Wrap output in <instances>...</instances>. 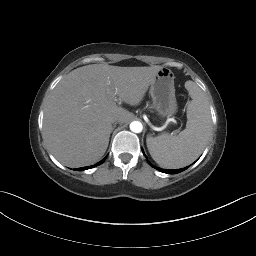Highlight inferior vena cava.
<instances>
[{
    "mask_svg": "<svg viewBox=\"0 0 256 256\" xmlns=\"http://www.w3.org/2000/svg\"><path fill=\"white\" fill-rule=\"evenodd\" d=\"M119 120H120L119 116L115 115L112 117V122H119Z\"/></svg>",
    "mask_w": 256,
    "mask_h": 256,
    "instance_id": "1",
    "label": "inferior vena cava"
}]
</instances>
